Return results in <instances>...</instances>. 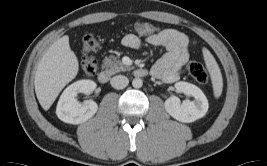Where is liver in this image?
<instances>
[{
	"label": "liver",
	"mask_w": 267,
	"mask_h": 166,
	"mask_svg": "<svg viewBox=\"0 0 267 166\" xmlns=\"http://www.w3.org/2000/svg\"><path fill=\"white\" fill-rule=\"evenodd\" d=\"M79 70L75 53L67 35L55 41L40 60L35 73V93L44 110H48L62 89L72 81Z\"/></svg>",
	"instance_id": "1"
}]
</instances>
